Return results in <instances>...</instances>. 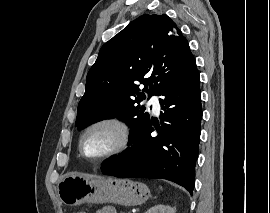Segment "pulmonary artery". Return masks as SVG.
Wrapping results in <instances>:
<instances>
[{"instance_id": "e3ab8cb5", "label": "pulmonary artery", "mask_w": 270, "mask_h": 213, "mask_svg": "<svg viewBox=\"0 0 270 213\" xmlns=\"http://www.w3.org/2000/svg\"><path fill=\"white\" fill-rule=\"evenodd\" d=\"M149 104L153 106L154 112L158 113L160 109L159 96L152 95L149 99Z\"/></svg>"}]
</instances>
